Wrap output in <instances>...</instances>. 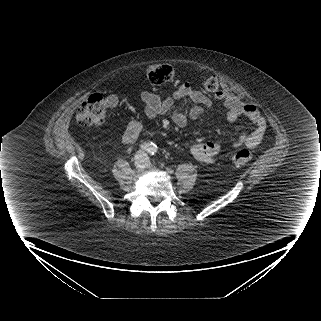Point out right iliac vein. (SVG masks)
Wrapping results in <instances>:
<instances>
[{"label":"right iliac vein","instance_id":"right-iliac-vein-1","mask_svg":"<svg viewBox=\"0 0 321 321\" xmlns=\"http://www.w3.org/2000/svg\"><path fill=\"white\" fill-rule=\"evenodd\" d=\"M134 163H135L136 168H137L139 171L143 170L144 167H145L144 162H143V160H142V158H141L140 156H136V157L134 158Z\"/></svg>","mask_w":321,"mask_h":321}]
</instances>
